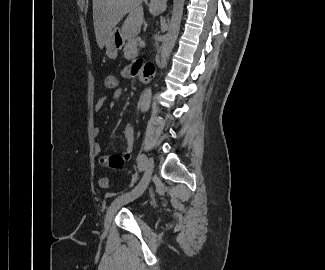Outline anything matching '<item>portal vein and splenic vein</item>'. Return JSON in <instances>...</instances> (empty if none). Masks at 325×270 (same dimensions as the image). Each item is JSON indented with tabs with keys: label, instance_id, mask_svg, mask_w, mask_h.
I'll return each instance as SVG.
<instances>
[{
	"label": "portal vein and splenic vein",
	"instance_id": "18ae733b",
	"mask_svg": "<svg viewBox=\"0 0 325 270\" xmlns=\"http://www.w3.org/2000/svg\"><path fill=\"white\" fill-rule=\"evenodd\" d=\"M144 46H145V42H141L140 47H144Z\"/></svg>",
	"mask_w": 325,
	"mask_h": 270
}]
</instances>
